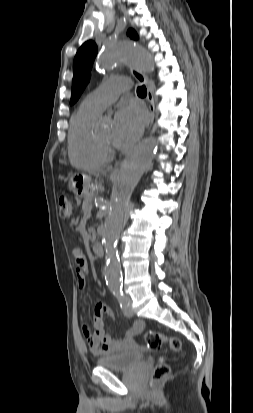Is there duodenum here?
I'll list each match as a JSON object with an SVG mask.
<instances>
[{"mask_svg":"<svg viewBox=\"0 0 253 413\" xmlns=\"http://www.w3.org/2000/svg\"><path fill=\"white\" fill-rule=\"evenodd\" d=\"M94 254L98 257L104 256V247L100 243H96L92 246Z\"/></svg>","mask_w":253,"mask_h":413,"instance_id":"obj_1","label":"duodenum"}]
</instances>
